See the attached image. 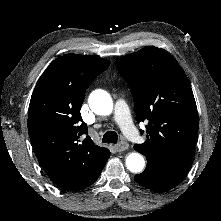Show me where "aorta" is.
I'll list each match as a JSON object with an SVG mask.
<instances>
[{
	"instance_id": "obj_1",
	"label": "aorta",
	"mask_w": 221,
	"mask_h": 221,
	"mask_svg": "<svg viewBox=\"0 0 221 221\" xmlns=\"http://www.w3.org/2000/svg\"><path fill=\"white\" fill-rule=\"evenodd\" d=\"M91 110L97 115H110L113 111V101L110 95L101 89L93 91L88 99ZM126 167L133 173L141 172L145 167V160L139 153H130L126 157Z\"/></svg>"
}]
</instances>
